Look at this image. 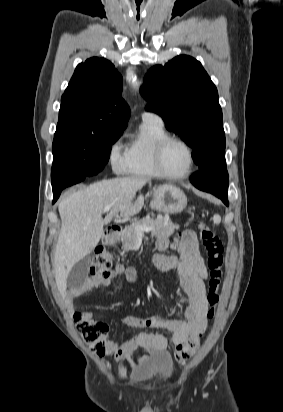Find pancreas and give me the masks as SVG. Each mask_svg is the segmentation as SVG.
<instances>
[{"mask_svg": "<svg viewBox=\"0 0 283 412\" xmlns=\"http://www.w3.org/2000/svg\"><path fill=\"white\" fill-rule=\"evenodd\" d=\"M137 226L154 227L152 235L157 238L169 237L175 230L179 229V225L174 224L169 217H159L157 219L144 218L137 220L133 224L125 227L121 234V241L124 250L132 249L137 242L139 235ZM141 234L143 236V232H141Z\"/></svg>", "mask_w": 283, "mask_h": 412, "instance_id": "cf45deb5", "label": "pancreas"}]
</instances>
